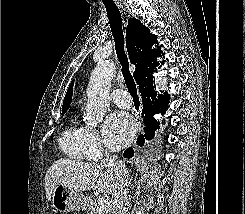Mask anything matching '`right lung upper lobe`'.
Wrapping results in <instances>:
<instances>
[{
	"label": "right lung upper lobe",
	"instance_id": "1",
	"mask_svg": "<svg viewBox=\"0 0 245 214\" xmlns=\"http://www.w3.org/2000/svg\"><path fill=\"white\" fill-rule=\"evenodd\" d=\"M126 40L129 59L132 64L136 65L133 75L139 84L157 66L156 58L161 56L162 45L157 49H152L155 43L158 44L156 35L151 34L149 29L135 18L128 20ZM162 55L164 57V54ZM73 82L65 95L62 113H65L70 106Z\"/></svg>",
	"mask_w": 245,
	"mask_h": 214
}]
</instances>
